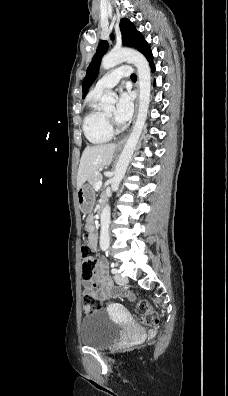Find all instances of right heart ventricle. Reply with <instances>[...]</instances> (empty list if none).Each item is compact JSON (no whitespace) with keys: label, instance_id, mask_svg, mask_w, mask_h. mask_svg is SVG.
I'll return each instance as SVG.
<instances>
[{"label":"right heart ventricle","instance_id":"obj_1","mask_svg":"<svg viewBox=\"0 0 228 396\" xmlns=\"http://www.w3.org/2000/svg\"><path fill=\"white\" fill-rule=\"evenodd\" d=\"M100 94L90 92L87 97L88 111L83 119V132L92 144H104L112 139L113 133L108 129L104 113L99 109L97 102Z\"/></svg>","mask_w":228,"mask_h":396}]
</instances>
